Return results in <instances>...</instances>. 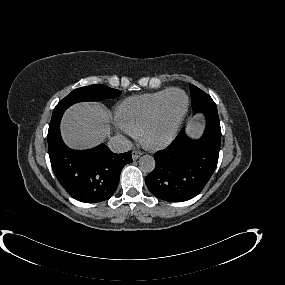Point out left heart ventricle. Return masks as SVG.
Returning <instances> with one entry per match:
<instances>
[{"label":"left heart ventricle","mask_w":285,"mask_h":285,"mask_svg":"<svg viewBox=\"0 0 285 285\" xmlns=\"http://www.w3.org/2000/svg\"><path fill=\"white\" fill-rule=\"evenodd\" d=\"M185 106V97L182 93L174 92L169 97L167 108L162 120L149 133L150 140H159L169 135L178 117Z\"/></svg>","instance_id":"left-heart-ventricle-1"}]
</instances>
